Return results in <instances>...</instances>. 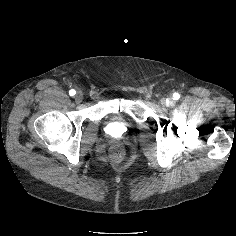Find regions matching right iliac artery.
<instances>
[{"mask_svg": "<svg viewBox=\"0 0 236 236\" xmlns=\"http://www.w3.org/2000/svg\"><path fill=\"white\" fill-rule=\"evenodd\" d=\"M76 94V91L74 90V89H71L70 91H69V95L70 96H74Z\"/></svg>", "mask_w": 236, "mask_h": 236, "instance_id": "right-iliac-artery-1", "label": "right iliac artery"}]
</instances>
